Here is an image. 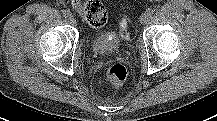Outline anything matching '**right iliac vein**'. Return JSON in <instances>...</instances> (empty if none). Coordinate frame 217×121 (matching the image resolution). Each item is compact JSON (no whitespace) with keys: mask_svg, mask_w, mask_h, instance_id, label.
<instances>
[{"mask_svg":"<svg viewBox=\"0 0 217 121\" xmlns=\"http://www.w3.org/2000/svg\"><path fill=\"white\" fill-rule=\"evenodd\" d=\"M70 22L72 25H77V21L74 17H70Z\"/></svg>","mask_w":217,"mask_h":121,"instance_id":"1","label":"right iliac vein"}]
</instances>
